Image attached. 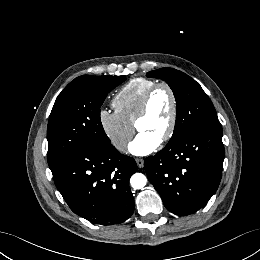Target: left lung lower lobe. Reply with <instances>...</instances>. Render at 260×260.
<instances>
[{
    "label": "left lung lower lobe",
    "mask_w": 260,
    "mask_h": 260,
    "mask_svg": "<svg viewBox=\"0 0 260 260\" xmlns=\"http://www.w3.org/2000/svg\"><path fill=\"white\" fill-rule=\"evenodd\" d=\"M224 145L221 124L196 128L145 159L149 181L166 209L188 215L216 192L222 175Z\"/></svg>",
    "instance_id": "0a47b994"
}]
</instances>
